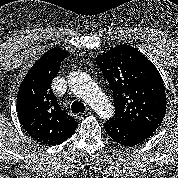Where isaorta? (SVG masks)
I'll return each mask as SVG.
<instances>
[{
	"label": "aorta",
	"instance_id": "762f6f07",
	"mask_svg": "<svg viewBox=\"0 0 178 178\" xmlns=\"http://www.w3.org/2000/svg\"><path fill=\"white\" fill-rule=\"evenodd\" d=\"M68 84L71 91L84 99L99 116L110 118L114 114V107L107 96L88 74L73 72L69 75Z\"/></svg>",
	"mask_w": 178,
	"mask_h": 178
}]
</instances>
